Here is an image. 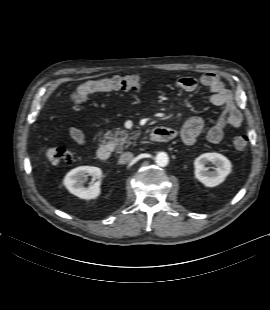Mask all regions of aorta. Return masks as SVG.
<instances>
[{
  "mask_svg": "<svg viewBox=\"0 0 270 310\" xmlns=\"http://www.w3.org/2000/svg\"><path fill=\"white\" fill-rule=\"evenodd\" d=\"M155 162L160 167H165L168 165L169 158L165 152H159L155 157Z\"/></svg>",
  "mask_w": 270,
  "mask_h": 310,
  "instance_id": "obj_1",
  "label": "aorta"
}]
</instances>
